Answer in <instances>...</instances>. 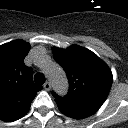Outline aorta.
I'll list each match as a JSON object with an SVG mask.
<instances>
[{
    "mask_svg": "<svg viewBox=\"0 0 128 128\" xmlns=\"http://www.w3.org/2000/svg\"><path fill=\"white\" fill-rule=\"evenodd\" d=\"M42 66L46 69L54 91L60 96L66 95L69 84L64 70L59 65L47 59L43 60Z\"/></svg>",
    "mask_w": 128,
    "mask_h": 128,
    "instance_id": "1",
    "label": "aorta"
}]
</instances>
